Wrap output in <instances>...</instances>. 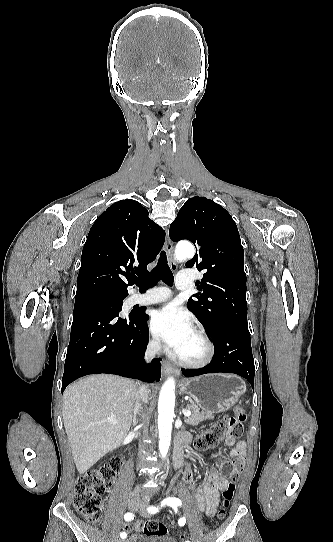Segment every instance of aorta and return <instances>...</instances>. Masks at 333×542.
<instances>
[{"instance_id":"762f6f07","label":"aorta","mask_w":333,"mask_h":542,"mask_svg":"<svg viewBox=\"0 0 333 542\" xmlns=\"http://www.w3.org/2000/svg\"><path fill=\"white\" fill-rule=\"evenodd\" d=\"M178 260L183 258H192L194 256V248L191 244H178L176 248ZM175 380L167 378L163 384L158 400V430L160 436L159 452L163 458L167 456L170 446L172 422L175 406Z\"/></svg>"}]
</instances>
